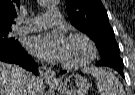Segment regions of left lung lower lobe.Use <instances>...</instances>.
<instances>
[{"mask_svg": "<svg viewBox=\"0 0 135 95\" xmlns=\"http://www.w3.org/2000/svg\"><path fill=\"white\" fill-rule=\"evenodd\" d=\"M97 65L99 66H109L114 68L115 70H117L123 77V62L122 59H112V60H108V59H101ZM66 71H62V73H65Z\"/></svg>", "mask_w": 135, "mask_h": 95, "instance_id": "obj_1", "label": "left lung lower lobe"}]
</instances>
